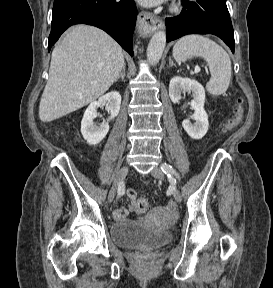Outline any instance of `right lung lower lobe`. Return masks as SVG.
<instances>
[{"instance_id":"right-lung-lower-lobe-1","label":"right lung lower lobe","mask_w":273,"mask_h":288,"mask_svg":"<svg viewBox=\"0 0 273 288\" xmlns=\"http://www.w3.org/2000/svg\"><path fill=\"white\" fill-rule=\"evenodd\" d=\"M136 18L134 0H54L48 51L68 27L84 23L103 29L133 56Z\"/></svg>"}]
</instances>
